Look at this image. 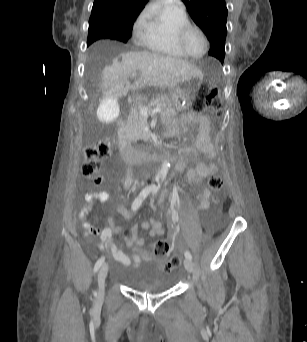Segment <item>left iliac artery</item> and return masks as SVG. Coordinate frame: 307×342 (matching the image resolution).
I'll return each mask as SVG.
<instances>
[{"mask_svg":"<svg viewBox=\"0 0 307 342\" xmlns=\"http://www.w3.org/2000/svg\"><path fill=\"white\" fill-rule=\"evenodd\" d=\"M157 191H158V189L156 187L152 189L153 194H156ZM173 196H174V194H173ZM153 202H154V197L151 198L152 207H153ZM184 255L187 259H190V260L192 259V255L190 252L185 251Z\"/></svg>","mask_w":307,"mask_h":342,"instance_id":"1","label":"left iliac artery"}]
</instances>
